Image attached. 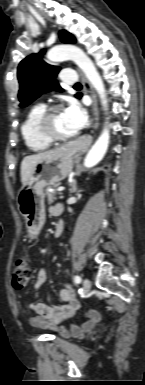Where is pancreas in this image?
Returning <instances> with one entry per match:
<instances>
[{
    "label": "pancreas",
    "instance_id": "cf45deb5",
    "mask_svg": "<svg viewBox=\"0 0 145 385\" xmlns=\"http://www.w3.org/2000/svg\"><path fill=\"white\" fill-rule=\"evenodd\" d=\"M57 193L58 192L56 190H53V191L46 190V196H47L49 204L53 203L54 200H56V194ZM59 194H60V192H59Z\"/></svg>",
    "mask_w": 145,
    "mask_h": 385
}]
</instances>
